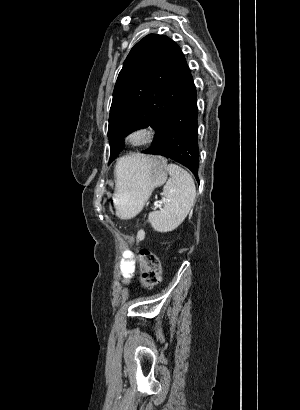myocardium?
I'll return each instance as SVG.
<instances>
[{"mask_svg":"<svg viewBox=\"0 0 300 410\" xmlns=\"http://www.w3.org/2000/svg\"><path fill=\"white\" fill-rule=\"evenodd\" d=\"M156 138L157 132L153 127L139 126L125 135L124 142L131 148H143L153 144Z\"/></svg>","mask_w":300,"mask_h":410,"instance_id":"1","label":"myocardium"}]
</instances>
